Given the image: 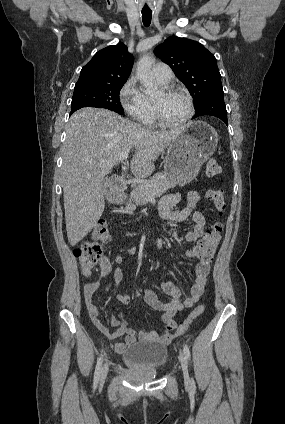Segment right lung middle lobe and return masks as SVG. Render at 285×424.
<instances>
[{
	"mask_svg": "<svg viewBox=\"0 0 285 424\" xmlns=\"http://www.w3.org/2000/svg\"><path fill=\"white\" fill-rule=\"evenodd\" d=\"M125 82L114 84H86L74 88L71 107L105 108L123 114L119 93Z\"/></svg>",
	"mask_w": 285,
	"mask_h": 424,
	"instance_id": "obj_1",
	"label": "right lung middle lobe"
}]
</instances>
